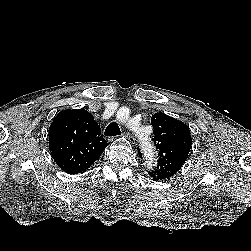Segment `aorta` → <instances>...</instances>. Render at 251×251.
<instances>
[{
	"label": "aorta",
	"mask_w": 251,
	"mask_h": 251,
	"mask_svg": "<svg viewBox=\"0 0 251 251\" xmlns=\"http://www.w3.org/2000/svg\"><path fill=\"white\" fill-rule=\"evenodd\" d=\"M127 127L136 136L142 148L146 162L149 165L154 163L156 160V155H155L156 153L150 138V133L144 131V129L140 127L138 122H136V120L134 119H130L127 121Z\"/></svg>",
	"instance_id": "1"
}]
</instances>
